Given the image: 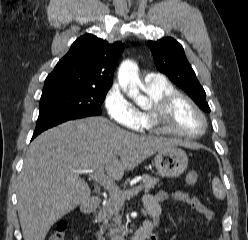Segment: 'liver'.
<instances>
[{
	"label": "liver",
	"mask_w": 248,
	"mask_h": 240,
	"mask_svg": "<svg viewBox=\"0 0 248 240\" xmlns=\"http://www.w3.org/2000/svg\"><path fill=\"white\" fill-rule=\"evenodd\" d=\"M182 142L130 133L102 117L68 121L34 139L18 184V215L24 240H44L51 226L90 199L79 170L105 171L120 180L158 151Z\"/></svg>",
	"instance_id": "6515ba94"
}]
</instances>
